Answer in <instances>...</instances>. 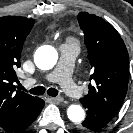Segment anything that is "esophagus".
I'll return each mask as SVG.
<instances>
[{
    "instance_id": "obj_1",
    "label": "esophagus",
    "mask_w": 133,
    "mask_h": 133,
    "mask_svg": "<svg viewBox=\"0 0 133 133\" xmlns=\"http://www.w3.org/2000/svg\"><path fill=\"white\" fill-rule=\"evenodd\" d=\"M52 100L57 103H61L63 101V97L61 96L53 97Z\"/></svg>"
}]
</instances>
